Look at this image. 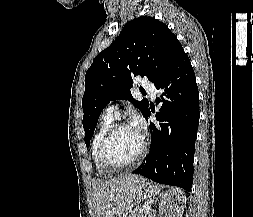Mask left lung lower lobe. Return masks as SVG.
Returning a JSON list of instances; mask_svg holds the SVG:
<instances>
[{"label": "left lung lower lobe", "instance_id": "1", "mask_svg": "<svg viewBox=\"0 0 253 217\" xmlns=\"http://www.w3.org/2000/svg\"><path fill=\"white\" fill-rule=\"evenodd\" d=\"M162 94L156 114L159 124L150 123V152L133 173L155 182L190 191L193 183L195 140L199 123V94L187 54L155 84ZM150 109L145 118L148 120Z\"/></svg>", "mask_w": 253, "mask_h": 217}]
</instances>
